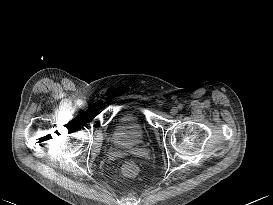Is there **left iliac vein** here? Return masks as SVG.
<instances>
[{
	"label": "left iliac vein",
	"mask_w": 273,
	"mask_h": 205,
	"mask_svg": "<svg viewBox=\"0 0 273 205\" xmlns=\"http://www.w3.org/2000/svg\"><path fill=\"white\" fill-rule=\"evenodd\" d=\"M171 115H176L178 113V108L177 107H172L170 110Z\"/></svg>",
	"instance_id": "4c4485c4"
}]
</instances>
